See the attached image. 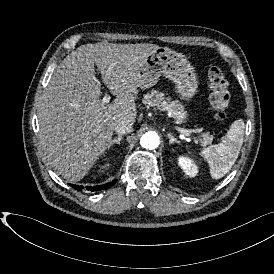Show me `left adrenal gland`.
Returning a JSON list of instances; mask_svg holds the SVG:
<instances>
[{
	"label": "left adrenal gland",
	"mask_w": 274,
	"mask_h": 274,
	"mask_svg": "<svg viewBox=\"0 0 274 274\" xmlns=\"http://www.w3.org/2000/svg\"><path fill=\"white\" fill-rule=\"evenodd\" d=\"M168 138H169V144H173V143L180 144V141L177 140L171 133H168Z\"/></svg>",
	"instance_id": "a2214340"
}]
</instances>
